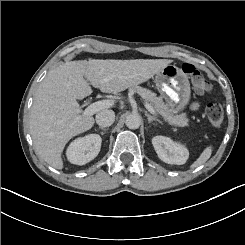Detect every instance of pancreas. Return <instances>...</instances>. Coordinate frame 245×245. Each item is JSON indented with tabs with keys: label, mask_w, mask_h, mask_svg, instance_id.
I'll return each instance as SVG.
<instances>
[{
	"label": "pancreas",
	"mask_w": 245,
	"mask_h": 245,
	"mask_svg": "<svg viewBox=\"0 0 245 245\" xmlns=\"http://www.w3.org/2000/svg\"><path fill=\"white\" fill-rule=\"evenodd\" d=\"M129 92L137 93L146 102H149L154 107L155 111L160 114L170 125L179 127L188 125V118H186V115L177 114L178 109L170 104H165L163 98L161 96L157 97L156 93L137 85L130 87Z\"/></svg>",
	"instance_id": "cf45deb5"
}]
</instances>
